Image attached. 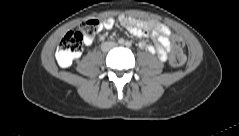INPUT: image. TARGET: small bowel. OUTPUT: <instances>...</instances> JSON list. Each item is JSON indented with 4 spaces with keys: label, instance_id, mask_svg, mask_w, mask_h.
<instances>
[{
    "label": "small bowel",
    "instance_id": "small-bowel-1",
    "mask_svg": "<svg viewBox=\"0 0 239 136\" xmlns=\"http://www.w3.org/2000/svg\"><path fill=\"white\" fill-rule=\"evenodd\" d=\"M120 23L127 29V31L135 37H153L157 38L158 45L152 46L142 44L141 47L145 48L151 53L157 54L161 61H166L168 52L170 51V29L161 23L146 22L135 20L128 16L122 15ZM114 26V21L108 19L100 25V30L111 29ZM93 43L92 38H85L84 44L90 46Z\"/></svg>",
    "mask_w": 239,
    "mask_h": 136
}]
</instances>
